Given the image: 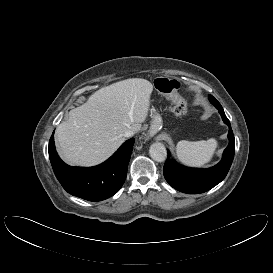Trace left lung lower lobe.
Returning <instances> with one entry per match:
<instances>
[{"label": "left lung lower lobe", "mask_w": 273, "mask_h": 273, "mask_svg": "<svg viewBox=\"0 0 273 273\" xmlns=\"http://www.w3.org/2000/svg\"><path fill=\"white\" fill-rule=\"evenodd\" d=\"M229 127V145L224 150L222 160L208 169H195L177 165L174 160L167 159L163 173L166 181L176 190L188 194L206 192L219 184L227 175L232 164L235 152V141L230 122L226 117L222 106L216 107ZM168 156L170 153L168 152Z\"/></svg>", "instance_id": "left-lung-lower-lobe-1"}]
</instances>
